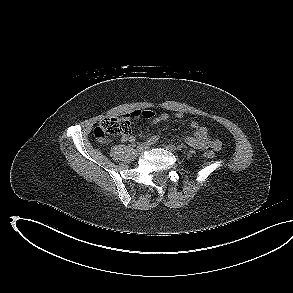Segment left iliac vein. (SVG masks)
<instances>
[{"instance_id": "left-iliac-vein-1", "label": "left iliac vein", "mask_w": 293, "mask_h": 293, "mask_svg": "<svg viewBox=\"0 0 293 293\" xmlns=\"http://www.w3.org/2000/svg\"><path fill=\"white\" fill-rule=\"evenodd\" d=\"M164 147L171 152H175L177 150V148L171 144L165 145Z\"/></svg>"}]
</instances>
